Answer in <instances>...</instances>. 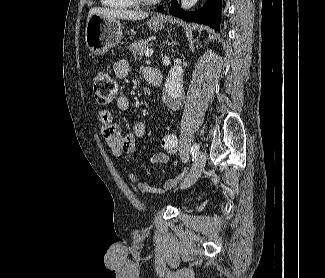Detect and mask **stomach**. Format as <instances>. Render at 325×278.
<instances>
[{"mask_svg":"<svg viewBox=\"0 0 325 278\" xmlns=\"http://www.w3.org/2000/svg\"><path fill=\"white\" fill-rule=\"evenodd\" d=\"M147 25L150 30L158 31L164 27V21L154 16L147 21ZM122 36V25L118 19L94 14L87 20L85 43L95 55H104L120 43Z\"/></svg>","mask_w":325,"mask_h":278,"instance_id":"1","label":"stomach"}]
</instances>
